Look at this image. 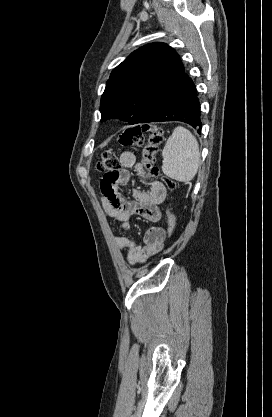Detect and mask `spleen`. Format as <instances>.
I'll use <instances>...</instances> for the list:
<instances>
[{"mask_svg":"<svg viewBox=\"0 0 272 417\" xmlns=\"http://www.w3.org/2000/svg\"><path fill=\"white\" fill-rule=\"evenodd\" d=\"M163 173L179 182H189L197 174L200 152L197 139L185 127L178 126L162 151Z\"/></svg>","mask_w":272,"mask_h":417,"instance_id":"spleen-1","label":"spleen"}]
</instances>
